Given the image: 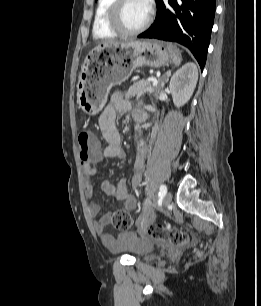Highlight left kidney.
Returning a JSON list of instances; mask_svg holds the SVG:
<instances>
[{"label": "left kidney", "mask_w": 261, "mask_h": 306, "mask_svg": "<svg viewBox=\"0 0 261 306\" xmlns=\"http://www.w3.org/2000/svg\"><path fill=\"white\" fill-rule=\"evenodd\" d=\"M198 80L196 64L189 62L178 69L171 77L169 89L176 107L183 106L191 98Z\"/></svg>", "instance_id": "1"}]
</instances>
